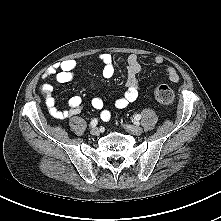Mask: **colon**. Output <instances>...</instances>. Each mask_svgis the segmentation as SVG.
Segmentation results:
<instances>
[{"label": "colon", "mask_w": 221, "mask_h": 221, "mask_svg": "<svg viewBox=\"0 0 221 221\" xmlns=\"http://www.w3.org/2000/svg\"><path fill=\"white\" fill-rule=\"evenodd\" d=\"M154 95L156 100L163 105H171L174 101V92L167 85L158 86L154 91Z\"/></svg>", "instance_id": "1"}]
</instances>
